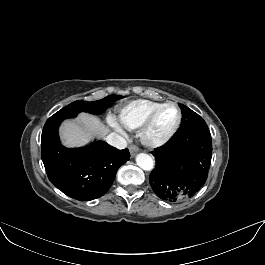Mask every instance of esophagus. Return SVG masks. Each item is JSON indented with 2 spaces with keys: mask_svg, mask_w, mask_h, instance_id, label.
Returning <instances> with one entry per match:
<instances>
[{
  "mask_svg": "<svg viewBox=\"0 0 265 265\" xmlns=\"http://www.w3.org/2000/svg\"><path fill=\"white\" fill-rule=\"evenodd\" d=\"M129 150H130V154H131L132 157H134L139 152L138 147H136L134 145H131L129 147Z\"/></svg>",
  "mask_w": 265,
  "mask_h": 265,
  "instance_id": "34e87169",
  "label": "esophagus"
}]
</instances>
